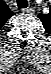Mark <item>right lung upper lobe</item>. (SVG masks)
I'll list each match as a JSON object with an SVG mask.
<instances>
[{
  "label": "right lung upper lobe",
  "instance_id": "1",
  "mask_svg": "<svg viewBox=\"0 0 51 74\" xmlns=\"http://www.w3.org/2000/svg\"><path fill=\"white\" fill-rule=\"evenodd\" d=\"M13 15L14 13L11 12L7 6L3 7V20L1 21L2 25H4V23Z\"/></svg>",
  "mask_w": 51,
  "mask_h": 74
}]
</instances>
